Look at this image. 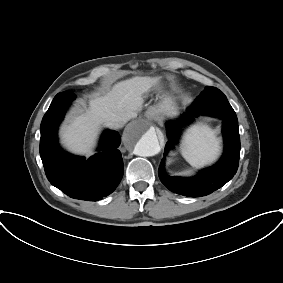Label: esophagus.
I'll return each mask as SVG.
<instances>
[{"label":"esophagus","mask_w":283,"mask_h":283,"mask_svg":"<svg viewBox=\"0 0 283 283\" xmlns=\"http://www.w3.org/2000/svg\"><path fill=\"white\" fill-rule=\"evenodd\" d=\"M147 115L149 116H151V117H153V114L152 113H150V112H147Z\"/></svg>","instance_id":"1"}]
</instances>
